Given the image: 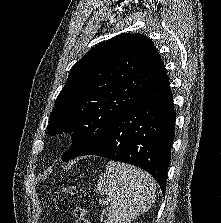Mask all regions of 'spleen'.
I'll list each match as a JSON object with an SVG mask.
<instances>
[{"label":"spleen","instance_id":"obj_1","mask_svg":"<svg viewBox=\"0 0 221 223\" xmlns=\"http://www.w3.org/2000/svg\"><path fill=\"white\" fill-rule=\"evenodd\" d=\"M153 178L134 166L109 161L99 176L96 192L109 202L105 223H131L155 201Z\"/></svg>","mask_w":221,"mask_h":223}]
</instances>
